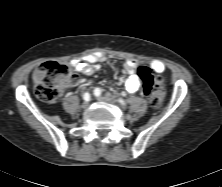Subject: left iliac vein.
<instances>
[{"mask_svg": "<svg viewBox=\"0 0 222 187\" xmlns=\"http://www.w3.org/2000/svg\"><path fill=\"white\" fill-rule=\"evenodd\" d=\"M97 100L98 101H106V102H111L112 101V99L107 98V97H103V96H98Z\"/></svg>", "mask_w": 222, "mask_h": 187, "instance_id": "4c4485c4", "label": "left iliac vein"}]
</instances>
